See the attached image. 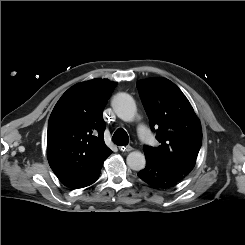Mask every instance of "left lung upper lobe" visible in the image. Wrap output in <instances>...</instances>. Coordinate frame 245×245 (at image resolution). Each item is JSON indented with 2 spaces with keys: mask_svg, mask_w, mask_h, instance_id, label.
Returning <instances> with one entry per match:
<instances>
[{
  "mask_svg": "<svg viewBox=\"0 0 245 245\" xmlns=\"http://www.w3.org/2000/svg\"><path fill=\"white\" fill-rule=\"evenodd\" d=\"M151 129L161 143L144 146L145 157L187 176L195 166L202 144V128L190 102L170 80L150 78L137 82Z\"/></svg>",
  "mask_w": 245,
  "mask_h": 245,
  "instance_id": "left-lung-upper-lobe-1",
  "label": "left lung upper lobe"
}]
</instances>
